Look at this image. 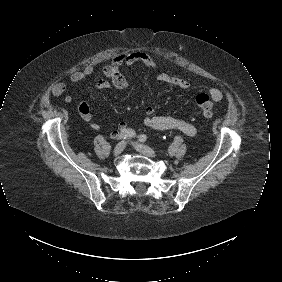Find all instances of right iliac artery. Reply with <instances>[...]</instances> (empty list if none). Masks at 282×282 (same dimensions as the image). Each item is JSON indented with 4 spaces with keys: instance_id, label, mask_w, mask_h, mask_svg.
I'll list each match as a JSON object with an SVG mask.
<instances>
[{
    "instance_id": "82829eb1",
    "label": "right iliac artery",
    "mask_w": 282,
    "mask_h": 282,
    "mask_svg": "<svg viewBox=\"0 0 282 282\" xmlns=\"http://www.w3.org/2000/svg\"><path fill=\"white\" fill-rule=\"evenodd\" d=\"M136 136V132L133 129H126L120 133L117 137L118 140L130 139Z\"/></svg>"
}]
</instances>
